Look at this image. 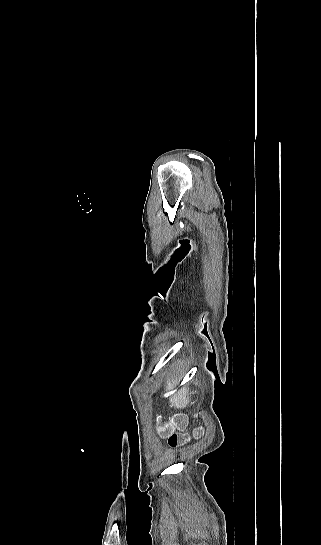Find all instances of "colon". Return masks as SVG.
<instances>
[{"label": "colon", "instance_id": "5ec220e1", "mask_svg": "<svg viewBox=\"0 0 321 545\" xmlns=\"http://www.w3.org/2000/svg\"><path fill=\"white\" fill-rule=\"evenodd\" d=\"M186 425V418L182 415H174L167 421H159L157 431L159 435L166 438L171 447H179L188 441V436L181 432Z\"/></svg>", "mask_w": 321, "mask_h": 545}]
</instances>
